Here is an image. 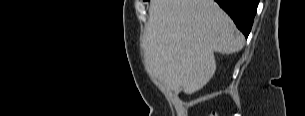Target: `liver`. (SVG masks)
<instances>
[{
  "instance_id": "obj_1",
  "label": "liver",
  "mask_w": 305,
  "mask_h": 116,
  "mask_svg": "<svg viewBox=\"0 0 305 116\" xmlns=\"http://www.w3.org/2000/svg\"><path fill=\"white\" fill-rule=\"evenodd\" d=\"M244 43L214 0H152L143 48L150 76L192 94L216 71L214 52L233 54Z\"/></svg>"
}]
</instances>
